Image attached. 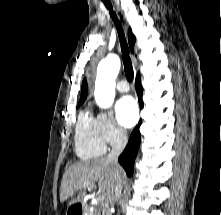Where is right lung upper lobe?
<instances>
[{
    "mask_svg": "<svg viewBox=\"0 0 221 215\" xmlns=\"http://www.w3.org/2000/svg\"><path fill=\"white\" fill-rule=\"evenodd\" d=\"M135 40H136L135 36L132 34L131 29H129V31H128V41H129V46H130V49H131L132 52H133ZM87 89H88L87 82H86V80H83L80 102H84L85 99L87 98Z\"/></svg>",
    "mask_w": 221,
    "mask_h": 215,
    "instance_id": "1",
    "label": "right lung upper lobe"
}]
</instances>
